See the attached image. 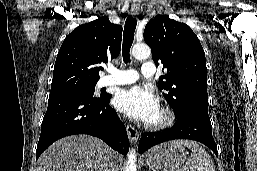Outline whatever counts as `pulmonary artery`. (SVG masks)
I'll use <instances>...</instances> for the list:
<instances>
[{
  "instance_id": "pulmonary-artery-1",
  "label": "pulmonary artery",
  "mask_w": 257,
  "mask_h": 171,
  "mask_svg": "<svg viewBox=\"0 0 257 171\" xmlns=\"http://www.w3.org/2000/svg\"><path fill=\"white\" fill-rule=\"evenodd\" d=\"M156 67L152 62H144L141 67V75L145 78H150L154 76ZM109 75L105 76L101 80L102 86L111 85H127L135 83L139 79V74L136 70H117L114 68H109Z\"/></svg>"
}]
</instances>
